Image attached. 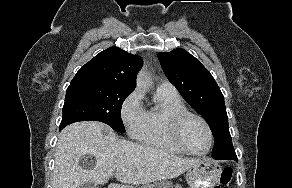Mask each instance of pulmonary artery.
<instances>
[{"mask_svg":"<svg viewBox=\"0 0 292 188\" xmlns=\"http://www.w3.org/2000/svg\"><path fill=\"white\" fill-rule=\"evenodd\" d=\"M157 90L170 94H178L175 86L168 81L160 83L157 87Z\"/></svg>","mask_w":292,"mask_h":188,"instance_id":"pulmonary-artery-1","label":"pulmonary artery"}]
</instances>
